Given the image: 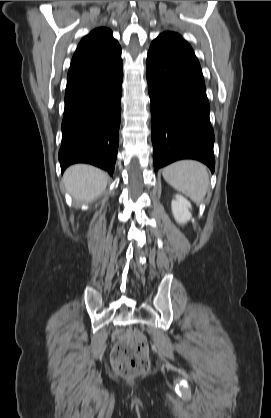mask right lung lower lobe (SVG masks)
<instances>
[{
  "instance_id": "1",
  "label": "right lung lower lobe",
  "mask_w": 271,
  "mask_h": 418,
  "mask_svg": "<svg viewBox=\"0 0 271 418\" xmlns=\"http://www.w3.org/2000/svg\"><path fill=\"white\" fill-rule=\"evenodd\" d=\"M122 60L114 67L65 94L62 171L74 163H89L113 174L117 158L121 113Z\"/></svg>"
}]
</instances>
